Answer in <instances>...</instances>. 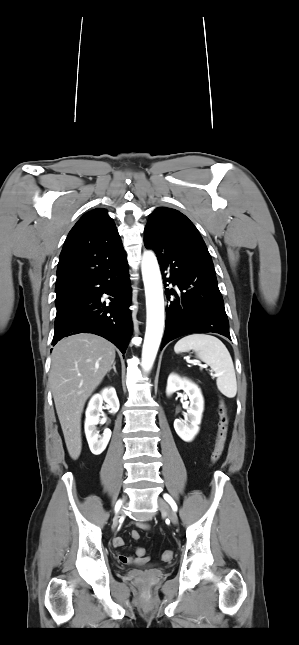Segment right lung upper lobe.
Wrapping results in <instances>:
<instances>
[{
    "label": "right lung upper lobe",
    "instance_id": "right-lung-upper-lobe-1",
    "mask_svg": "<svg viewBox=\"0 0 299 645\" xmlns=\"http://www.w3.org/2000/svg\"><path fill=\"white\" fill-rule=\"evenodd\" d=\"M126 257L113 220L104 209L85 215L69 232L62 248L55 291L74 288L84 280L118 265Z\"/></svg>",
    "mask_w": 299,
    "mask_h": 645
}]
</instances>
